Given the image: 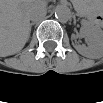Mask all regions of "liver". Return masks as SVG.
<instances>
[{
  "label": "liver",
  "instance_id": "1",
  "mask_svg": "<svg viewBox=\"0 0 103 103\" xmlns=\"http://www.w3.org/2000/svg\"><path fill=\"white\" fill-rule=\"evenodd\" d=\"M45 8L42 1L6 0L1 2V56L19 52L30 35L29 13Z\"/></svg>",
  "mask_w": 103,
  "mask_h": 103
}]
</instances>
